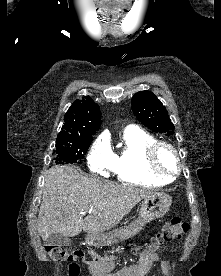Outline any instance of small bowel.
I'll return each mask as SVG.
<instances>
[{"label":"small bowel","instance_id":"obj_1","mask_svg":"<svg viewBox=\"0 0 221 276\" xmlns=\"http://www.w3.org/2000/svg\"><path fill=\"white\" fill-rule=\"evenodd\" d=\"M138 250V248H135ZM90 259L86 265L92 276H145L152 265L159 262L163 275H170V267L166 261H160L157 253V247H145L136 263L129 267L116 270V258L113 256H100L90 251Z\"/></svg>","mask_w":221,"mask_h":276}]
</instances>
